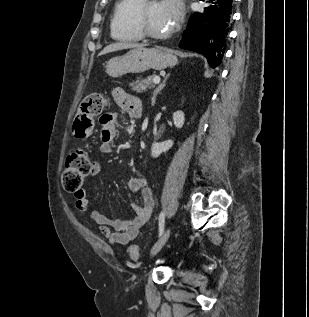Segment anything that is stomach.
I'll use <instances>...</instances> for the list:
<instances>
[{
    "label": "stomach",
    "instance_id": "stomach-1",
    "mask_svg": "<svg viewBox=\"0 0 309 317\" xmlns=\"http://www.w3.org/2000/svg\"><path fill=\"white\" fill-rule=\"evenodd\" d=\"M177 64V58L171 52L160 47H139L122 56L111 58L106 64V73L113 78L127 73H143L149 69L163 70Z\"/></svg>",
    "mask_w": 309,
    "mask_h": 317
}]
</instances>
